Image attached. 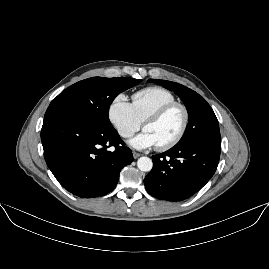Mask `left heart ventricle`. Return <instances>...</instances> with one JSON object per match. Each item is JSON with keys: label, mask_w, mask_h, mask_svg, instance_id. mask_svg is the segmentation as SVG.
I'll use <instances>...</instances> for the list:
<instances>
[{"label": "left heart ventricle", "mask_w": 269, "mask_h": 269, "mask_svg": "<svg viewBox=\"0 0 269 269\" xmlns=\"http://www.w3.org/2000/svg\"><path fill=\"white\" fill-rule=\"evenodd\" d=\"M182 124V112L175 108L161 117L148 121L144 131L151 135L156 146H163L177 136Z\"/></svg>", "instance_id": "1"}]
</instances>
